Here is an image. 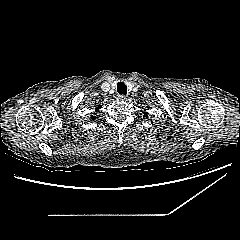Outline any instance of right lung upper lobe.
I'll return each mask as SVG.
<instances>
[{
    "instance_id": "obj_1",
    "label": "right lung upper lobe",
    "mask_w": 240,
    "mask_h": 240,
    "mask_svg": "<svg viewBox=\"0 0 240 240\" xmlns=\"http://www.w3.org/2000/svg\"><path fill=\"white\" fill-rule=\"evenodd\" d=\"M101 106L99 105L97 108H96V111L100 108ZM94 118V116H92V119Z\"/></svg>"
}]
</instances>
